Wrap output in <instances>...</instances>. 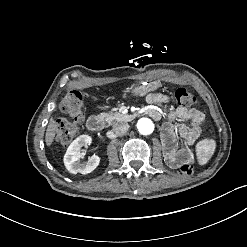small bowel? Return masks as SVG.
Here are the masks:
<instances>
[{
	"instance_id": "c3829d8e",
	"label": "small bowel",
	"mask_w": 247,
	"mask_h": 247,
	"mask_svg": "<svg viewBox=\"0 0 247 247\" xmlns=\"http://www.w3.org/2000/svg\"><path fill=\"white\" fill-rule=\"evenodd\" d=\"M146 100L149 103L147 107L148 115L154 120H159L161 118L160 107L166 105L170 98L163 93H151ZM203 121L204 115L197 109H187L184 106H179L169 112L168 122L162 128V143L165 160L171 167H176L175 157L178 153L176 134L185 143L194 144L201 136Z\"/></svg>"
}]
</instances>
